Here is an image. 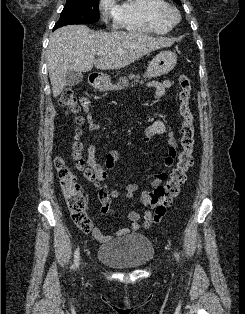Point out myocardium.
Here are the masks:
<instances>
[{
	"label": "myocardium",
	"mask_w": 245,
	"mask_h": 314,
	"mask_svg": "<svg viewBox=\"0 0 245 314\" xmlns=\"http://www.w3.org/2000/svg\"><path fill=\"white\" fill-rule=\"evenodd\" d=\"M161 18L169 21L171 24L177 23L180 20L179 10L170 3H164L158 10Z\"/></svg>",
	"instance_id": "myocardium-1"
}]
</instances>
